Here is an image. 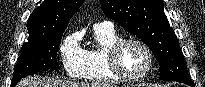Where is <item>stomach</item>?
Returning a JSON list of instances; mask_svg holds the SVG:
<instances>
[{
  "label": "stomach",
  "instance_id": "obj_1",
  "mask_svg": "<svg viewBox=\"0 0 205 87\" xmlns=\"http://www.w3.org/2000/svg\"><path fill=\"white\" fill-rule=\"evenodd\" d=\"M137 87H145V86H143V85H138Z\"/></svg>",
  "mask_w": 205,
  "mask_h": 87
}]
</instances>
